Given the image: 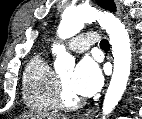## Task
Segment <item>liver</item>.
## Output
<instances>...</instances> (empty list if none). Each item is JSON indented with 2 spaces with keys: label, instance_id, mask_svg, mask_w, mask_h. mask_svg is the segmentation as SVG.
Instances as JSON below:
<instances>
[{
  "label": "liver",
  "instance_id": "liver-1",
  "mask_svg": "<svg viewBox=\"0 0 142 119\" xmlns=\"http://www.w3.org/2000/svg\"><path fill=\"white\" fill-rule=\"evenodd\" d=\"M22 119H68L66 116H58L48 113H30L28 115H23Z\"/></svg>",
  "mask_w": 142,
  "mask_h": 119
}]
</instances>
